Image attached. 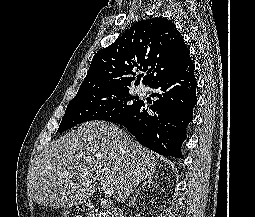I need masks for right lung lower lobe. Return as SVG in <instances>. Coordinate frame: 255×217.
<instances>
[{"instance_id":"obj_1","label":"right lung lower lobe","mask_w":255,"mask_h":217,"mask_svg":"<svg viewBox=\"0 0 255 217\" xmlns=\"http://www.w3.org/2000/svg\"><path fill=\"white\" fill-rule=\"evenodd\" d=\"M194 69L190 58L174 71L159 77L149 84L158 91L155 94L158 100L152 106L141 101L131 112L111 122L126 126L147 148L162 155L183 158L180 147L197 103ZM148 108L154 114H148Z\"/></svg>"}]
</instances>
